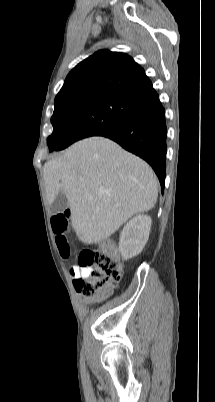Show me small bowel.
Listing matches in <instances>:
<instances>
[{
	"label": "small bowel",
	"instance_id": "c3829d8e",
	"mask_svg": "<svg viewBox=\"0 0 215 402\" xmlns=\"http://www.w3.org/2000/svg\"><path fill=\"white\" fill-rule=\"evenodd\" d=\"M91 273V268H81L77 265H73L70 268V274L74 280L78 278H84L89 276Z\"/></svg>",
	"mask_w": 215,
	"mask_h": 402
}]
</instances>
